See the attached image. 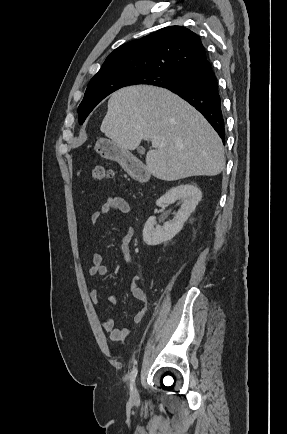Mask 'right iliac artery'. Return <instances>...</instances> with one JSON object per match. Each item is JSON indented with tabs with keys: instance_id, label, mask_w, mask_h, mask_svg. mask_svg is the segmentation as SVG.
Here are the masks:
<instances>
[{
	"instance_id": "obj_1",
	"label": "right iliac artery",
	"mask_w": 287,
	"mask_h": 434,
	"mask_svg": "<svg viewBox=\"0 0 287 434\" xmlns=\"http://www.w3.org/2000/svg\"><path fill=\"white\" fill-rule=\"evenodd\" d=\"M137 372H138L137 367H134L133 370L131 371V375H130L131 386L137 376Z\"/></svg>"
}]
</instances>
